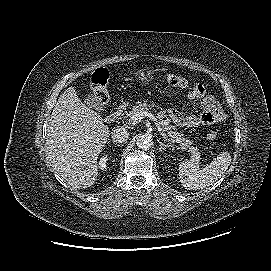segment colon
<instances>
[{"mask_svg":"<svg viewBox=\"0 0 271 271\" xmlns=\"http://www.w3.org/2000/svg\"><path fill=\"white\" fill-rule=\"evenodd\" d=\"M108 74L104 69L96 70L92 76L90 81V86L92 90L93 97L95 101L103 105L108 101L109 92L107 88ZM167 82L170 86L175 88H187L189 82L186 78L171 74L167 77ZM208 138L213 140L216 138L215 132L208 133Z\"/></svg>","mask_w":271,"mask_h":271,"instance_id":"5ec220e1","label":"colon"}]
</instances>
